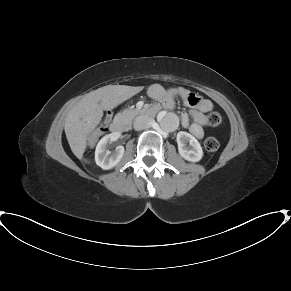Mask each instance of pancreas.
<instances>
[{"label":"pancreas","mask_w":291,"mask_h":291,"mask_svg":"<svg viewBox=\"0 0 291 291\" xmlns=\"http://www.w3.org/2000/svg\"><path fill=\"white\" fill-rule=\"evenodd\" d=\"M141 113H142V110H139L136 108H127L121 113H119L118 116L126 122H131L137 115Z\"/></svg>","instance_id":"cf45deb5"}]
</instances>
